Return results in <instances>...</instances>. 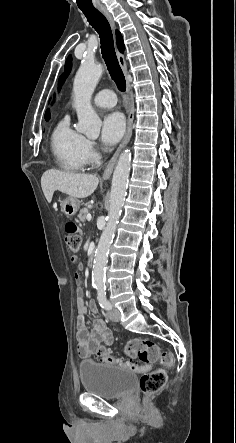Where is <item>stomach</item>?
<instances>
[{
	"label": "stomach",
	"instance_id": "obj_1",
	"mask_svg": "<svg viewBox=\"0 0 236 443\" xmlns=\"http://www.w3.org/2000/svg\"><path fill=\"white\" fill-rule=\"evenodd\" d=\"M80 205L81 202L71 196L60 200L61 211L68 217L74 216L78 212Z\"/></svg>",
	"mask_w": 236,
	"mask_h": 443
}]
</instances>
